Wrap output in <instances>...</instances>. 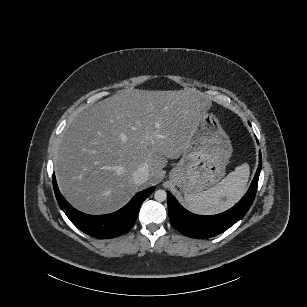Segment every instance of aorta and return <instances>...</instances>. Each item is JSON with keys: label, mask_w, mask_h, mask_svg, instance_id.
<instances>
[{"label": "aorta", "mask_w": 307, "mask_h": 307, "mask_svg": "<svg viewBox=\"0 0 307 307\" xmlns=\"http://www.w3.org/2000/svg\"><path fill=\"white\" fill-rule=\"evenodd\" d=\"M166 197H167V194H166V192H165L164 190H162V189H158V190H156V192L154 193V198H155V200L158 201V202L164 201V200L166 199Z\"/></svg>", "instance_id": "762f6f07"}]
</instances>
